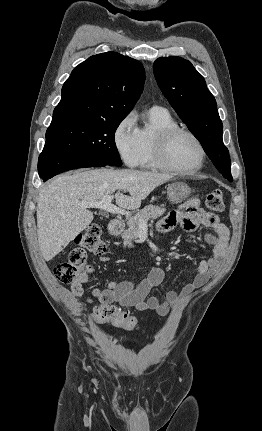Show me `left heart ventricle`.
<instances>
[{
	"label": "left heart ventricle",
	"mask_w": 262,
	"mask_h": 431,
	"mask_svg": "<svg viewBox=\"0 0 262 431\" xmlns=\"http://www.w3.org/2000/svg\"><path fill=\"white\" fill-rule=\"evenodd\" d=\"M170 162L183 169H194L200 160V151L195 141L185 134L173 137L168 147Z\"/></svg>",
	"instance_id": "1"
}]
</instances>
